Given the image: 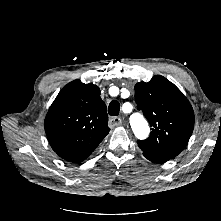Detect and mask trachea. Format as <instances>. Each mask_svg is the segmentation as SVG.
<instances>
[{
	"label": "trachea",
	"instance_id": "obj_1",
	"mask_svg": "<svg viewBox=\"0 0 221 221\" xmlns=\"http://www.w3.org/2000/svg\"><path fill=\"white\" fill-rule=\"evenodd\" d=\"M120 112V104L118 101L113 100L108 106V113L111 116H118Z\"/></svg>",
	"mask_w": 221,
	"mask_h": 221
}]
</instances>
